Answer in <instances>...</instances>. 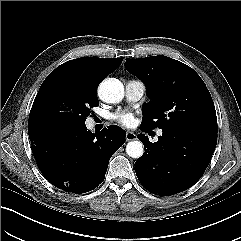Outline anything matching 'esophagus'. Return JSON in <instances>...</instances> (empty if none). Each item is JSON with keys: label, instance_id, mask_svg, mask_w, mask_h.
I'll return each instance as SVG.
<instances>
[{"label": "esophagus", "instance_id": "esophagus-1", "mask_svg": "<svg viewBox=\"0 0 241 241\" xmlns=\"http://www.w3.org/2000/svg\"><path fill=\"white\" fill-rule=\"evenodd\" d=\"M137 138L136 134L133 133V132H127L126 133V140L127 141H132V140H135Z\"/></svg>", "mask_w": 241, "mask_h": 241}]
</instances>
